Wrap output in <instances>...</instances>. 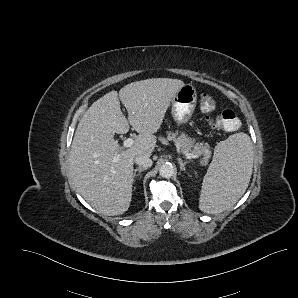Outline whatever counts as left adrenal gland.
Segmentation results:
<instances>
[{
	"instance_id": "obj_1",
	"label": "left adrenal gland",
	"mask_w": 298,
	"mask_h": 298,
	"mask_svg": "<svg viewBox=\"0 0 298 298\" xmlns=\"http://www.w3.org/2000/svg\"><path fill=\"white\" fill-rule=\"evenodd\" d=\"M180 164V170L185 171V165L188 163V161H183L181 158L177 159Z\"/></svg>"
}]
</instances>
